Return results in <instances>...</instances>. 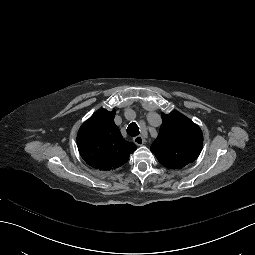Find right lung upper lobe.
Returning <instances> with one entry per match:
<instances>
[{
  "mask_svg": "<svg viewBox=\"0 0 255 255\" xmlns=\"http://www.w3.org/2000/svg\"><path fill=\"white\" fill-rule=\"evenodd\" d=\"M114 117V110L100 109L79 129L77 145L80 155L94 169H116L125 164L136 150L134 143L123 139Z\"/></svg>",
  "mask_w": 255,
  "mask_h": 255,
  "instance_id": "cb5924a9",
  "label": "right lung upper lobe"
}]
</instances>
